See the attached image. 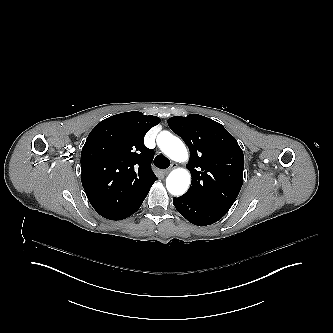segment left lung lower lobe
<instances>
[{
    "mask_svg": "<svg viewBox=\"0 0 333 333\" xmlns=\"http://www.w3.org/2000/svg\"><path fill=\"white\" fill-rule=\"evenodd\" d=\"M173 203L182 216L198 226H206L217 222L231 208L225 205L197 201L184 195L173 198Z\"/></svg>",
    "mask_w": 333,
    "mask_h": 333,
    "instance_id": "obj_1",
    "label": "left lung lower lobe"
}]
</instances>
